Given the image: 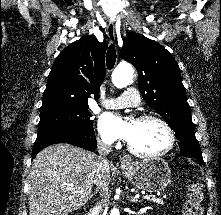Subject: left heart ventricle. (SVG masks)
<instances>
[{
  "label": "left heart ventricle",
  "mask_w": 221,
  "mask_h": 215,
  "mask_svg": "<svg viewBox=\"0 0 221 215\" xmlns=\"http://www.w3.org/2000/svg\"><path fill=\"white\" fill-rule=\"evenodd\" d=\"M129 143L138 151L153 153L166 147L168 137L163 126L156 121H135Z\"/></svg>",
  "instance_id": "obj_1"
}]
</instances>
